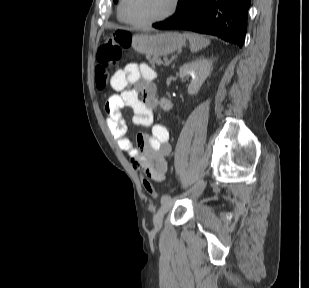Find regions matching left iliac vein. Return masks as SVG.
<instances>
[{"label":"left iliac vein","mask_w":309,"mask_h":288,"mask_svg":"<svg viewBox=\"0 0 309 288\" xmlns=\"http://www.w3.org/2000/svg\"><path fill=\"white\" fill-rule=\"evenodd\" d=\"M204 188V181L199 180L190 190L189 194L191 197L198 196ZM174 204V200H165L162 202L157 214L154 217V225L157 229H160L163 222L164 215L171 209Z\"/></svg>","instance_id":"1"}]
</instances>
